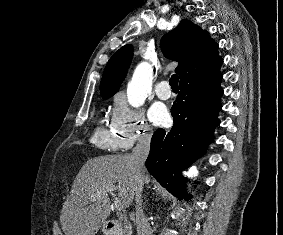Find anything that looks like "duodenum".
Returning a JSON list of instances; mask_svg holds the SVG:
<instances>
[{
    "label": "duodenum",
    "instance_id": "410a0bca",
    "mask_svg": "<svg viewBox=\"0 0 283 235\" xmlns=\"http://www.w3.org/2000/svg\"><path fill=\"white\" fill-rule=\"evenodd\" d=\"M105 229L115 230L120 227V222L118 220H109L104 225Z\"/></svg>",
    "mask_w": 283,
    "mask_h": 235
}]
</instances>
